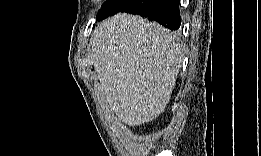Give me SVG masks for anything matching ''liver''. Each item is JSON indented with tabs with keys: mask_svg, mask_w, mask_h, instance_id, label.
Wrapping results in <instances>:
<instances>
[{
	"mask_svg": "<svg viewBox=\"0 0 261 156\" xmlns=\"http://www.w3.org/2000/svg\"><path fill=\"white\" fill-rule=\"evenodd\" d=\"M91 53L102 97L120 120L140 126L164 112L183 61L169 30L118 13L95 28Z\"/></svg>",
	"mask_w": 261,
	"mask_h": 156,
	"instance_id": "6515ba94",
	"label": "liver"
}]
</instances>
